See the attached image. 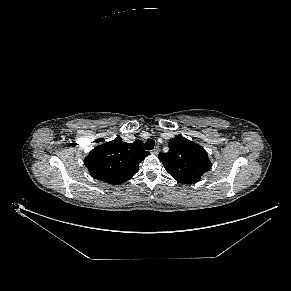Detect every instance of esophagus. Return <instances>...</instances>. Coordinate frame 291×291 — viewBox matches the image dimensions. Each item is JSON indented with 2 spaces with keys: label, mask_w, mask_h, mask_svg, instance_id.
<instances>
[{
  "label": "esophagus",
  "mask_w": 291,
  "mask_h": 291,
  "mask_svg": "<svg viewBox=\"0 0 291 291\" xmlns=\"http://www.w3.org/2000/svg\"><path fill=\"white\" fill-rule=\"evenodd\" d=\"M160 152V148L158 146H156L153 150H152V153L155 154V155H158Z\"/></svg>",
  "instance_id": "1"
}]
</instances>
